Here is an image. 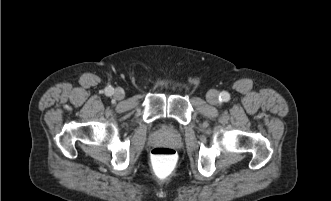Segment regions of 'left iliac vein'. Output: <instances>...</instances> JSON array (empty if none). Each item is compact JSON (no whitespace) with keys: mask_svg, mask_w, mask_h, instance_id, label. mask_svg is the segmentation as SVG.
Instances as JSON below:
<instances>
[{"mask_svg":"<svg viewBox=\"0 0 331 201\" xmlns=\"http://www.w3.org/2000/svg\"><path fill=\"white\" fill-rule=\"evenodd\" d=\"M207 101L212 104L215 105L218 103V93L216 90H210L208 91L207 95H206Z\"/></svg>","mask_w":331,"mask_h":201,"instance_id":"1","label":"left iliac vein"}]
</instances>
